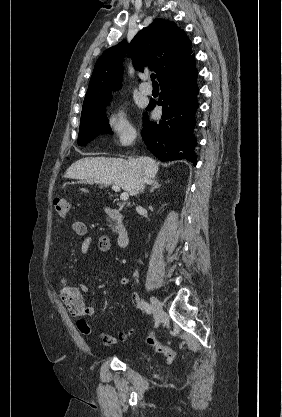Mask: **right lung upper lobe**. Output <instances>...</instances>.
<instances>
[{"label": "right lung upper lobe", "instance_id": "right-lung-upper-lobe-1", "mask_svg": "<svg viewBox=\"0 0 282 417\" xmlns=\"http://www.w3.org/2000/svg\"><path fill=\"white\" fill-rule=\"evenodd\" d=\"M127 53L136 70L143 71L148 66L156 72L158 81L195 59L185 32L174 22L155 19L130 44L123 41L103 52L95 64L85 98L111 93L121 86L122 63Z\"/></svg>", "mask_w": 282, "mask_h": 417}]
</instances>
